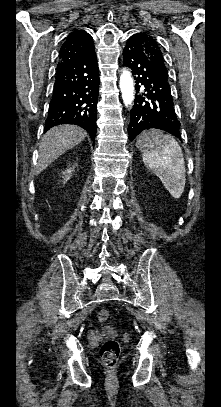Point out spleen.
<instances>
[{
    "label": "spleen",
    "instance_id": "obj_1",
    "mask_svg": "<svg viewBox=\"0 0 221 407\" xmlns=\"http://www.w3.org/2000/svg\"><path fill=\"white\" fill-rule=\"evenodd\" d=\"M143 162L162 181L172 197H181L186 182L185 163L182 149L176 139L162 135L159 147L144 151Z\"/></svg>",
    "mask_w": 221,
    "mask_h": 407
}]
</instances>
